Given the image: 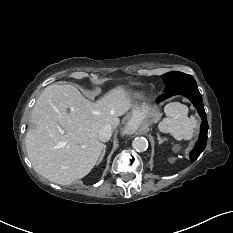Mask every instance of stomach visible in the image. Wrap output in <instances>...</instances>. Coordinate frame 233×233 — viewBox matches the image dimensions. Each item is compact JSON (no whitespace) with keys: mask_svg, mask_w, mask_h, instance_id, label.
Wrapping results in <instances>:
<instances>
[{"mask_svg":"<svg viewBox=\"0 0 233 233\" xmlns=\"http://www.w3.org/2000/svg\"><path fill=\"white\" fill-rule=\"evenodd\" d=\"M160 116L159 107L144 102L134 106L129 123L133 128H137L147 121L156 122Z\"/></svg>","mask_w":233,"mask_h":233,"instance_id":"stomach-1","label":"stomach"}]
</instances>
